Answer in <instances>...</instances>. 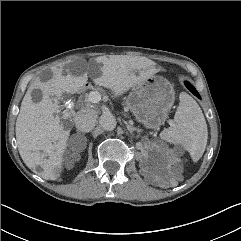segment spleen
<instances>
[{
  "label": "spleen",
  "instance_id": "3e777b00",
  "mask_svg": "<svg viewBox=\"0 0 241 241\" xmlns=\"http://www.w3.org/2000/svg\"><path fill=\"white\" fill-rule=\"evenodd\" d=\"M179 100L174 124L164 129L160 138L169 143L183 145L193 161H198L207 145V124L201 108L190 95L182 92Z\"/></svg>",
  "mask_w": 241,
  "mask_h": 241
}]
</instances>
